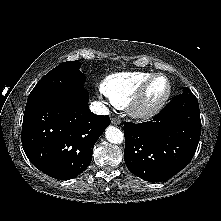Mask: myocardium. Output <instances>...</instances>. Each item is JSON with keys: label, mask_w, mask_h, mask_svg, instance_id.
Listing matches in <instances>:
<instances>
[{"label": "myocardium", "mask_w": 221, "mask_h": 221, "mask_svg": "<svg viewBox=\"0 0 221 221\" xmlns=\"http://www.w3.org/2000/svg\"><path fill=\"white\" fill-rule=\"evenodd\" d=\"M164 78L167 81V91L164 96L154 105L146 104V97L148 90L152 83L157 78ZM172 94V83L168 76L163 73H155L152 74L149 78H147L142 85L139 87L133 98L128 104V112L129 114L138 120H146L156 116L167 104L170 96Z\"/></svg>", "instance_id": "obj_1"}]
</instances>
